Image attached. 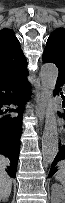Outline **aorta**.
<instances>
[{"label": "aorta", "instance_id": "1", "mask_svg": "<svg viewBox=\"0 0 65 203\" xmlns=\"http://www.w3.org/2000/svg\"><path fill=\"white\" fill-rule=\"evenodd\" d=\"M40 78L45 93L51 97L58 78V68L53 63H45L40 70ZM59 151L58 129L55 114L48 110L42 136L43 162L50 165Z\"/></svg>", "mask_w": 65, "mask_h": 203}]
</instances>
